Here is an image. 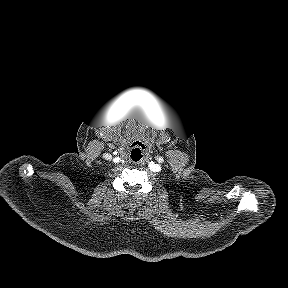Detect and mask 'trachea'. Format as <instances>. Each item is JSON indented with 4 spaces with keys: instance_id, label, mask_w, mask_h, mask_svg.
I'll return each mask as SVG.
<instances>
[{
    "instance_id": "obj_1",
    "label": "trachea",
    "mask_w": 288,
    "mask_h": 288,
    "mask_svg": "<svg viewBox=\"0 0 288 288\" xmlns=\"http://www.w3.org/2000/svg\"><path fill=\"white\" fill-rule=\"evenodd\" d=\"M146 150L144 144L135 142L129 147V158L133 162H138L145 156Z\"/></svg>"
}]
</instances>
